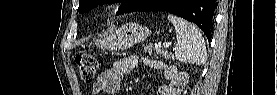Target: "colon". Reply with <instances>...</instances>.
Here are the masks:
<instances>
[{"label": "colon", "instance_id": "1", "mask_svg": "<svg viewBox=\"0 0 277 95\" xmlns=\"http://www.w3.org/2000/svg\"><path fill=\"white\" fill-rule=\"evenodd\" d=\"M77 68L82 79L91 84L95 81L98 70V60L92 54H83L76 57Z\"/></svg>", "mask_w": 277, "mask_h": 95}]
</instances>
